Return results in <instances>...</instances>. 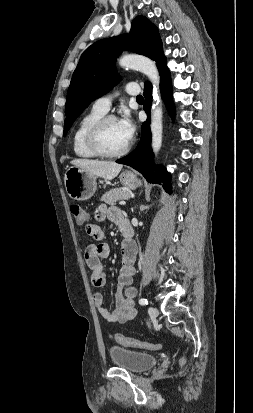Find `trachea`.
Segmentation results:
<instances>
[{
	"label": "trachea",
	"instance_id": "obj_1",
	"mask_svg": "<svg viewBox=\"0 0 253 413\" xmlns=\"http://www.w3.org/2000/svg\"><path fill=\"white\" fill-rule=\"evenodd\" d=\"M137 101H143V97L141 95H138L136 98Z\"/></svg>",
	"mask_w": 253,
	"mask_h": 413
}]
</instances>
